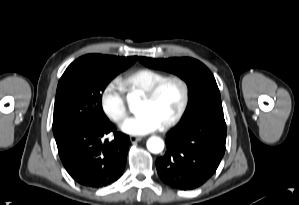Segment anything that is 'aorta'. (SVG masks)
<instances>
[{"mask_svg": "<svg viewBox=\"0 0 299 205\" xmlns=\"http://www.w3.org/2000/svg\"><path fill=\"white\" fill-rule=\"evenodd\" d=\"M128 103H129V108L131 111H134V107L137 103V98L134 95H129L128 96ZM147 148L150 152L152 153H160L164 149V141L159 138V137H151L147 141Z\"/></svg>", "mask_w": 299, "mask_h": 205, "instance_id": "obj_1", "label": "aorta"}]
</instances>
